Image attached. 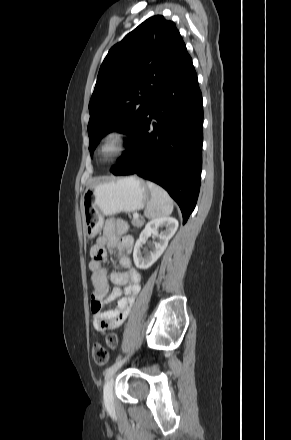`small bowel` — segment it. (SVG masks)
<instances>
[{
	"label": "small bowel",
	"mask_w": 291,
	"mask_h": 440,
	"mask_svg": "<svg viewBox=\"0 0 291 440\" xmlns=\"http://www.w3.org/2000/svg\"><path fill=\"white\" fill-rule=\"evenodd\" d=\"M124 231L123 225L108 220L104 224L102 235L98 237L89 251L88 267L91 271L93 287L91 312L94 328L100 335L123 323L140 291L141 277L139 272L132 268L130 259L134 238L124 234ZM106 247L117 255L120 267V271L110 274V280L116 287L109 294L107 271L102 266L106 258ZM118 298L116 308L102 309L103 303H110ZM103 320H107L108 324H104Z\"/></svg>",
	"instance_id": "small-bowel-1"
}]
</instances>
